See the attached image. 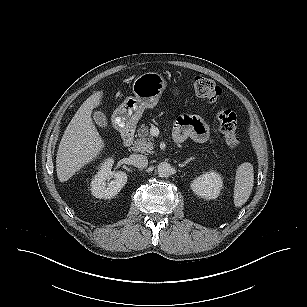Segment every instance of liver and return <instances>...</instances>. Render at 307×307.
Segmentation results:
<instances>
[{"label":"liver","instance_id":"1","mask_svg":"<svg viewBox=\"0 0 307 307\" xmlns=\"http://www.w3.org/2000/svg\"><path fill=\"white\" fill-rule=\"evenodd\" d=\"M102 97L103 91H97L87 98L63 134L56 157V171L60 182L69 180L104 148V141L91 118L93 109L100 105Z\"/></svg>","mask_w":307,"mask_h":307}]
</instances>
